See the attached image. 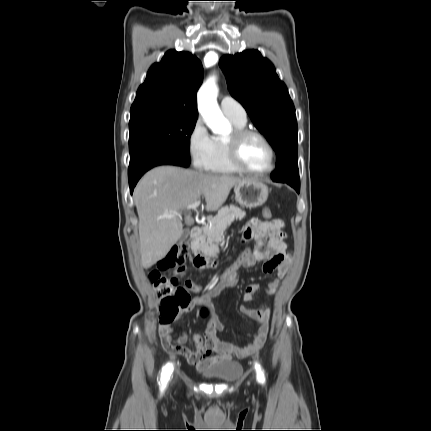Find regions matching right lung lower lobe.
<instances>
[{"instance_id":"98d812e1","label":"right lung lower lobe","mask_w":431,"mask_h":431,"mask_svg":"<svg viewBox=\"0 0 431 431\" xmlns=\"http://www.w3.org/2000/svg\"><path fill=\"white\" fill-rule=\"evenodd\" d=\"M165 164L188 167L190 162L162 147H150L130 157L128 176L131 194L136 183L146 171L155 166Z\"/></svg>"}]
</instances>
